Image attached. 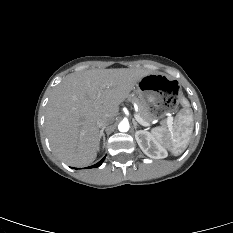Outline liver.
<instances>
[{
  "instance_id": "obj_1",
  "label": "liver",
  "mask_w": 233,
  "mask_h": 233,
  "mask_svg": "<svg viewBox=\"0 0 233 233\" xmlns=\"http://www.w3.org/2000/svg\"><path fill=\"white\" fill-rule=\"evenodd\" d=\"M148 73L142 69L118 68L66 76L54 88L45 115L48 139L57 156L70 166L91 164L97 157L101 139L97 121L107 117L113 123L119 105Z\"/></svg>"
}]
</instances>
